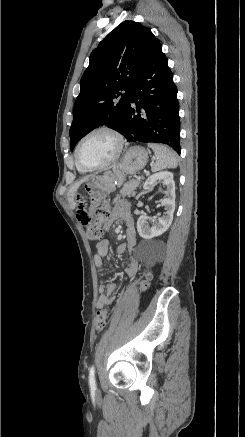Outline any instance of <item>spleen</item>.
Segmentation results:
<instances>
[{
	"label": "spleen",
	"mask_w": 245,
	"mask_h": 437,
	"mask_svg": "<svg viewBox=\"0 0 245 437\" xmlns=\"http://www.w3.org/2000/svg\"><path fill=\"white\" fill-rule=\"evenodd\" d=\"M150 147L156 156V162L151 166L153 172H157L166 168H176L178 159L176 154L167 146L162 144L149 143Z\"/></svg>",
	"instance_id": "1"
}]
</instances>
